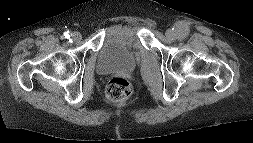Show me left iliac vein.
I'll return each instance as SVG.
<instances>
[{
	"label": "left iliac vein",
	"mask_w": 253,
	"mask_h": 143,
	"mask_svg": "<svg viewBox=\"0 0 253 143\" xmlns=\"http://www.w3.org/2000/svg\"><path fill=\"white\" fill-rule=\"evenodd\" d=\"M166 37L169 39V40H174L177 38V33L175 30L173 29H168L165 33Z\"/></svg>",
	"instance_id": "obj_1"
}]
</instances>
